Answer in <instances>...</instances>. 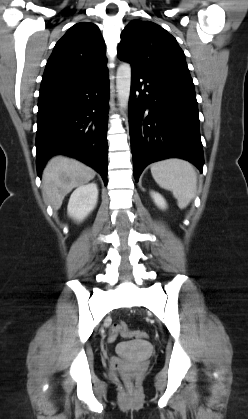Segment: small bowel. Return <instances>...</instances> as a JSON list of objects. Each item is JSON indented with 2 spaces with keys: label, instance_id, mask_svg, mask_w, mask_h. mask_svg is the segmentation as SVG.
I'll list each match as a JSON object with an SVG mask.
<instances>
[{
  "label": "small bowel",
  "instance_id": "1",
  "mask_svg": "<svg viewBox=\"0 0 248 419\" xmlns=\"http://www.w3.org/2000/svg\"><path fill=\"white\" fill-rule=\"evenodd\" d=\"M110 340H111V341H113V340H114V337L112 336V337L110 338Z\"/></svg>",
  "mask_w": 248,
  "mask_h": 419
}]
</instances>
